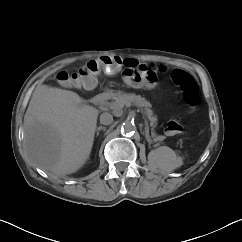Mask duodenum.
I'll use <instances>...</instances> for the list:
<instances>
[{"instance_id":"1","label":"duodenum","mask_w":242,"mask_h":242,"mask_svg":"<svg viewBox=\"0 0 242 242\" xmlns=\"http://www.w3.org/2000/svg\"><path fill=\"white\" fill-rule=\"evenodd\" d=\"M110 96L109 93H100V94H97L93 97V101L95 103H100L102 101H105L106 99H108Z\"/></svg>"}]
</instances>
